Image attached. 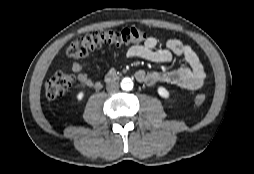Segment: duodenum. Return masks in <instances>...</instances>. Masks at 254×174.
Listing matches in <instances>:
<instances>
[{
  "label": "duodenum",
  "instance_id": "1",
  "mask_svg": "<svg viewBox=\"0 0 254 174\" xmlns=\"http://www.w3.org/2000/svg\"><path fill=\"white\" fill-rule=\"evenodd\" d=\"M117 78H118V77H117L116 72H115V71H111V72H109V73L106 75V77H105V82H106V83H112V82L116 81Z\"/></svg>",
  "mask_w": 254,
  "mask_h": 174
}]
</instances>
